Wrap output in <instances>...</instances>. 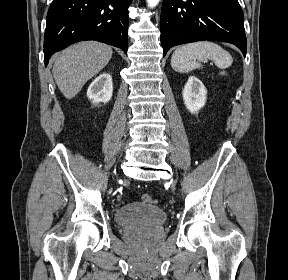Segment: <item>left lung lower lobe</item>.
<instances>
[{
    "label": "left lung lower lobe",
    "instance_id": "obj_1",
    "mask_svg": "<svg viewBox=\"0 0 288 280\" xmlns=\"http://www.w3.org/2000/svg\"><path fill=\"white\" fill-rule=\"evenodd\" d=\"M160 23L163 56L173 46L204 40L232 43L246 56L238 0H164Z\"/></svg>",
    "mask_w": 288,
    "mask_h": 280
}]
</instances>
